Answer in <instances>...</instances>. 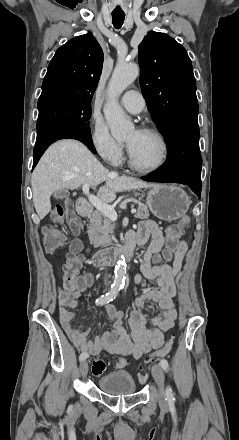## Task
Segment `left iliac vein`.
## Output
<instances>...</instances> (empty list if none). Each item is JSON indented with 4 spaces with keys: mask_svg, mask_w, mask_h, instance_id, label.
I'll return each instance as SVG.
<instances>
[{
    "mask_svg": "<svg viewBox=\"0 0 239 440\" xmlns=\"http://www.w3.org/2000/svg\"><path fill=\"white\" fill-rule=\"evenodd\" d=\"M151 371L159 390V404L161 407H166L167 399H166V394L164 392V382H165L164 371L162 367L158 364L154 365Z\"/></svg>",
    "mask_w": 239,
    "mask_h": 440,
    "instance_id": "left-iliac-vein-1",
    "label": "left iliac vein"
}]
</instances>
